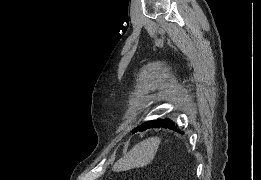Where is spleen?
Masks as SVG:
<instances>
[{
	"mask_svg": "<svg viewBox=\"0 0 261 180\" xmlns=\"http://www.w3.org/2000/svg\"><path fill=\"white\" fill-rule=\"evenodd\" d=\"M160 142V138L153 136V138H148V140L135 144L130 152H127L123 158L115 162L112 168L113 172H127V170H132V168L148 166L154 160Z\"/></svg>",
	"mask_w": 261,
	"mask_h": 180,
	"instance_id": "3e777b00",
	"label": "spleen"
}]
</instances>
